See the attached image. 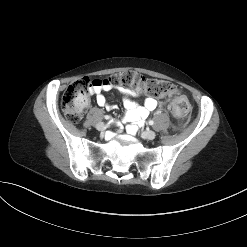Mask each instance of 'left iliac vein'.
<instances>
[{"label": "left iliac vein", "instance_id": "4c4485c4", "mask_svg": "<svg viewBox=\"0 0 247 247\" xmlns=\"http://www.w3.org/2000/svg\"><path fill=\"white\" fill-rule=\"evenodd\" d=\"M142 138L147 140H153L156 137V133L152 130H146L141 133Z\"/></svg>", "mask_w": 247, "mask_h": 247}]
</instances>
